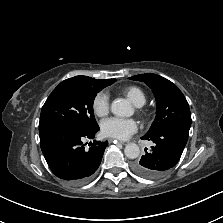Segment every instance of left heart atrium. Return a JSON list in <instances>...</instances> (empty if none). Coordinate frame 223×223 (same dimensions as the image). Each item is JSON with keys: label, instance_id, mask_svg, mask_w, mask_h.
<instances>
[{"label": "left heart atrium", "instance_id": "39dd6f15", "mask_svg": "<svg viewBox=\"0 0 223 223\" xmlns=\"http://www.w3.org/2000/svg\"><path fill=\"white\" fill-rule=\"evenodd\" d=\"M102 133L110 138L126 140L138 130L134 119L109 118L101 124Z\"/></svg>", "mask_w": 223, "mask_h": 223}]
</instances>
